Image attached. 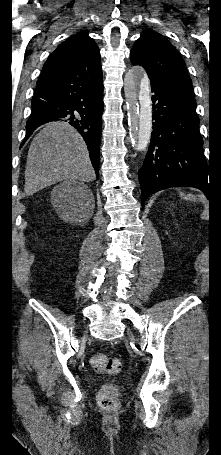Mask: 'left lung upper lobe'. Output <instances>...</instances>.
Instances as JSON below:
<instances>
[{
	"instance_id": "left-lung-upper-lobe-1",
	"label": "left lung upper lobe",
	"mask_w": 221,
	"mask_h": 455,
	"mask_svg": "<svg viewBox=\"0 0 221 455\" xmlns=\"http://www.w3.org/2000/svg\"><path fill=\"white\" fill-rule=\"evenodd\" d=\"M130 60L133 65L145 68L151 82H157L196 103L184 60L175 47L158 32L145 29L130 52Z\"/></svg>"
}]
</instances>
